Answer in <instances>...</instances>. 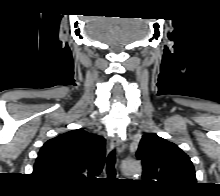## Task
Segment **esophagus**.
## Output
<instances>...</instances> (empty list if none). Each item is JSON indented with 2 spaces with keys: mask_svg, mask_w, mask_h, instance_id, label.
Here are the masks:
<instances>
[{
  "mask_svg": "<svg viewBox=\"0 0 220 196\" xmlns=\"http://www.w3.org/2000/svg\"><path fill=\"white\" fill-rule=\"evenodd\" d=\"M110 146L112 149L116 148L119 154L122 153V151L124 150V143L118 136H114L111 138Z\"/></svg>",
  "mask_w": 220,
  "mask_h": 196,
  "instance_id": "1",
  "label": "esophagus"
}]
</instances>
